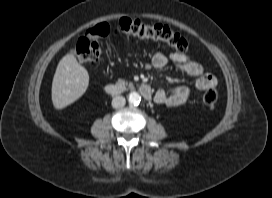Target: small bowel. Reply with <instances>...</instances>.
<instances>
[{
    "instance_id": "1",
    "label": "small bowel",
    "mask_w": 272,
    "mask_h": 198,
    "mask_svg": "<svg viewBox=\"0 0 272 198\" xmlns=\"http://www.w3.org/2000/svg\"><path fill=\"white\" fill-rule=\"evenodd\" d=\"M169 63L174 65L182 72L194 78V86L198 90H206L217 85V79L214 75L204 71L201 64L194 61L189 55L183 53L172 52L164 54L156 53L149 67L162 69ZM191 96V89L188 86H178L170 90H158L155 93L154 101L166 107H177L188 101Z\"/></svg>"
}]
</instances>
